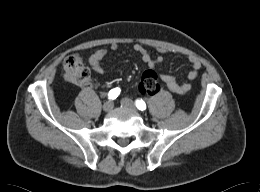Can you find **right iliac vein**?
Masks as SVG:
<instances>
[{
	"instance_id": "right-iliac-vein-1",
	"label": "right iliac vein",
	"mask_w": 260,
	"mask_h": 192,
	"mask_svg": "<svg viewBox=\"0 0 260 192\" xmlns=\"http://www.w3.org/2000/svg\"><path fill=\"white\" fill-rule=\"evenodd\" d=\"M103 108L106 112H108L113 108V103L111 101H108L104 104Z\"/></svg>"
}]
</instances>
